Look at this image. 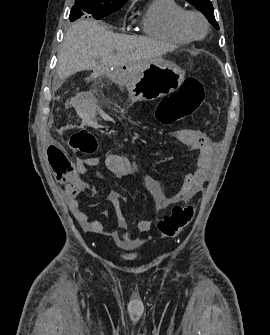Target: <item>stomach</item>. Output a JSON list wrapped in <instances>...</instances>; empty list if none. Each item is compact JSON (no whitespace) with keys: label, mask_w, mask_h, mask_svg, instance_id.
Instances as JSON below:
<instances>
[{"label":"stomach","mask_w":270,"mask_h":335,"mask_svg":"<svg viewBox=\"0 0 270 335\" xmlns=\"http://www.w3.org/2000/svg\"><path fill=\"white\" fill-rule=\"evenodd\" d=\"M119 78H123L131 104L142 100H157L175 92L184 82V72L176 66H169L167 62L157 58L151 60L149 66L118 68Z\"/></svg>","instance_id":"obj_1"}]
</instances>
